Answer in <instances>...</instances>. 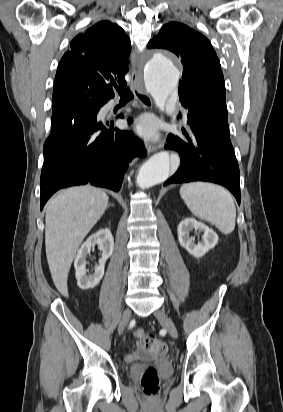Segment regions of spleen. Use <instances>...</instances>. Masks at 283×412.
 <instances>
[{
	"label": "spleen",
	"mask_w": 283,
	"mask_h": 412,
	"mask_svg": "<svg viewBox=\"0 0 283 412\" xmlns=\"http://www.w3.org/2000/svg\"><path fill=\"white\" fill-rule=\"evenodd\" d=\"M181 198L191 213L216 226L223 234L235 228L236 208L232 196L224 188L205 182L182 185Z\"/></svg>",
	"instance_id": "spleen-1"
}]
</instances>
